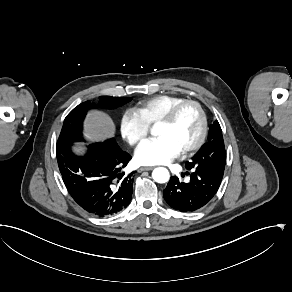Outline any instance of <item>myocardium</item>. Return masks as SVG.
<instances>
[{"mask_svg":"<svg viewBox=\"0 0 292 292\" xmlns=\"http://www.w3.org/2000/svg\"><path fill=\"white\" fill-rule=\"evenodd\" d=\"M187 105H192L197 110L199 119H200V127H199V133L196 140L191 145L182 149L181 150L182 154H188L193 151H196L197 149L201 147V145L204 142L206 131H207V120H206L205 112L202 106L195 100L184 99L180 102L173 104L171 107H169L167 111L164 114H162L155 122V124L171 123L175 119L179 110Z\"/></svg>","mask_w":292,"mask_h":292,"instance_id":"1","label":"myocardium"}]
</instances>
